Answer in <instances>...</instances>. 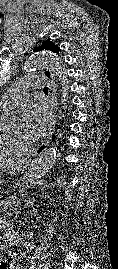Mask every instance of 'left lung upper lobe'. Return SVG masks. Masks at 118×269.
<instances>
[{"label": "left lung upper lobe", "mask_w": 118, "mask_h": 269, "mask_svg": "<svg viewBox=\"0 0 118 269\" xmlns=\"http://www.w3.org/2000/svg\"><path fill=\"white\" fill-rule=\"evenodd\" d=\"M41 50H50L54 51L55 53H59L60 51L59 47L49 40L44 41L41 46L34 48V51H41Z\"/></svg>", "instance_id": "obj_1"}]
</instances>
